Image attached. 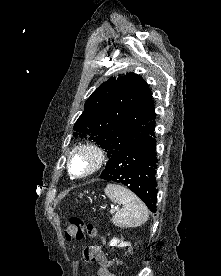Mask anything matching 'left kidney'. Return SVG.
I'll return each instance as SVG.
<instances>
[{"instance_id": "5707ae66", "label": "left kidney", "mask_w": 221, "mask_h": 276, "mask_svg": "<svg viewBox=\"0 0 221 276\" xmlns=\"http://www.w3.org/2000/svg\"><path fill=\"white\" fill-rule=\"evenodd\" d=\"M128 245H130L128 242L120 241L117 238H113L110 241V246L125 247V246H128Z\"/></svg>"}]
</instances>
